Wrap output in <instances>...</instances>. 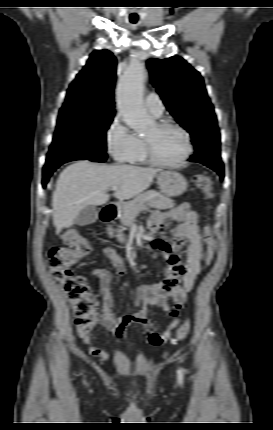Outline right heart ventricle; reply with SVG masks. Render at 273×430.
Wrapping results in <instances>:
<instances>
[{
    "label": "right heart ventricle",
    "instance_id": "right-heart-ventricle-1",
    "mask_svg": "<svg viewBox=\"0 0 273 430\" xmlns=\"http://www.w3.org/2000/svg\"><path fill=\"white\" fill-rule=\"evenodd\" d=\"M140 141H141V148L134 156L133 160L131 161L132 163H135V164H144L148 161L147 155H146L145 143L142 139H140Z\"/></svg>",
    "mask_w": 273,
    "mask_h": 430
}]
</instances>
